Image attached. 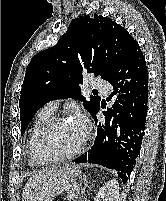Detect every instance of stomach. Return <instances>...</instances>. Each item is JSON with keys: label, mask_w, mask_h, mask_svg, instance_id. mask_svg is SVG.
<instances>
[{"label": "stomach", "mask_w": 166, "mask_h": 201, "mask_svg": "<svg viewBox=\"0 0 166 201\" xmlns=\"http://www.w3.org/2000/svg\"><path fill=\"white\" fill-rule=\"evenodd\" d=\"M79 174V167L75 165H66L57 169L34 190L30 201H52L65 187H69L71 183L75 182Z\"/></svg>", "instance_id": "0dacf381"}]
</instances>
